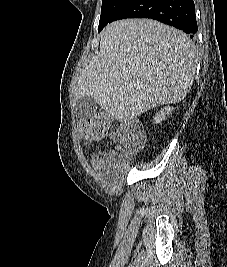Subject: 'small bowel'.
Here are the masks:
<instances>
[{
    "mask_svg": "<svg viewBox=\"0 0 227 267\" xmlns=\"http://www.w3.org/2000/svg\"><path fill=\"white\" fill-rule=\"evenodd\" d=\"M118 132H119V131H117V132L115 133V135H114L115 138L118 137ZM105 159H106V156L93 155V163H94V165H95L97 168H100V167L104 164Z\"/></svg>",
    "mask_w": 227,
    "mask_h": 267,
    "instance_id": "small-bowel-1",
    "label": "small bowel"
}]
</instances>
